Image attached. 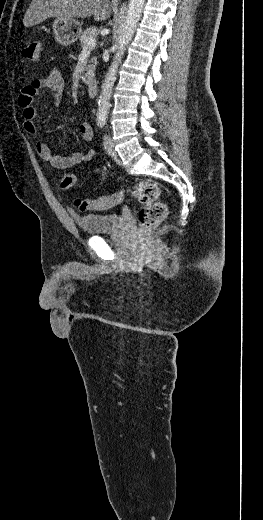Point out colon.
Listing matches in <instances>:
<instances>
[{
	"instance_id": "colon-1",
	"label": "colon",
	"mask_w": 263,
	"mask_h": 520,
	"mask_svg": "<svg viewBox=\"0 0 263 520\" xmlns=\"http://www.w3.org/2000/svg\"><path fill=\"white\" fill-rule=\"evenodd\" d=\"M40 52L41 41L33 39L29 41L22 50V55L31 62H37L40 57ZM76 183L77 178L73 173H67L61 179V187L63 190H72L76 186ZM127 195L136 198L143 206L139 215L142 229H148L166 218L167 205L160 198L158 185L147 181H141L126 190L109 196L94 199L78 198L75 200V206L82 212L91 210L102 211L120 204Z\"/></svg>"
}]
</instances>
